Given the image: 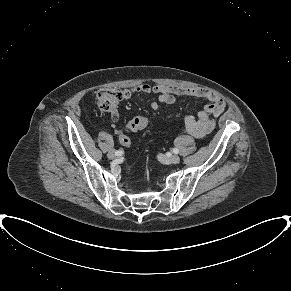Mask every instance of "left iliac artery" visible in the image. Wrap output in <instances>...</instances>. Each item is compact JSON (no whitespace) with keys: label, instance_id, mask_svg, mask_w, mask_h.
I'll return each mask as SVG.
<instances>
[{"label":"left iliac artery","instance_id":"left-iliac-artery-1","mask_svg":"<svg viewBox=\"0 0 291 291\" xmlns=\"http://www.w3.org/2000/svg\"><path fill=\"white\" fill-rule=\"evenodd\" d=\"M173 153L177 154V153H179V150L177 148H174Z\"/></svg>","mask_w":291,"mask_h":291}]
</instances>
